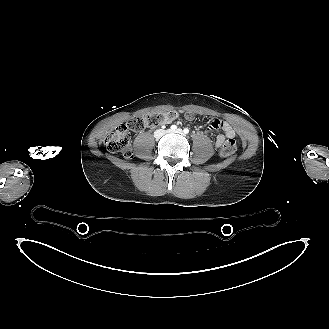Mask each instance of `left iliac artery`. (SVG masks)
I'll return each mask as SVG.
<instances>
[{"label": "left iliac artery", "instance_id": "left-iliac-artery-1", "mask_svg": "<svg viewBox=\"0 0 329 329\" xmlns=\"http://www.w3.org/2000/svg\"><path fill=\"white\" fill-rule=\"evenodd\" d=\"M183 132H184L185 134H188V133H189V129H188V128H185V129L183 130Z\"/></svg>", "mask_w": 329, "mask_h": 329}]
</instances>
